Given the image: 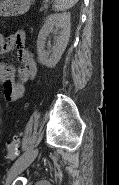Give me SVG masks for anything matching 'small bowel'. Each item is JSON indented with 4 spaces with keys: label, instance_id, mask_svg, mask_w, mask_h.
Returning a JSON list of instances; mask_svg holds the SVG:
<instances>
[{
    "label": "small bowel",
    "instance_id": "obj_1",
    "mask_svg": "<svg viewBox=\"0 0 119 185\" xmlns=\"http://www.w3.org/2000/svg\"><path fill=\"white\" fill-rule=\"evenodd\" d=\"M25 39L26 35L21 30L1 37L0 53L6 54L15 49L21 64L16 80L15 69L5 63L0 64V81L8 101L21 99L25 92V84L37 74V64L32 53L25 47ZM6 80H9V84H6Z\"/></svg>",
    "mask_w": 119,
    "mask_h": 185
}]
</instances>
